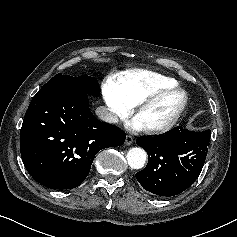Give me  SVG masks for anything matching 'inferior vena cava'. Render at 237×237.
Segmentation results:
<instances>
[{
	"instance_id": "602c4592",
	"label": "inferior vena cava",
	"mask_w": 237,
	"mask_h": 237,
	"mask_svg": "<svg viewBox=\"0 0 237 237\" xmlns=\"http://www.w3.org/2000/svg\"><path fill=\"white\" fill-rule=\"evenodd\" d=\"M96 115L103 121L108 123H117L118 117L109 108L100 106L95 111Z\"/></svg>"
}]
</instances>
